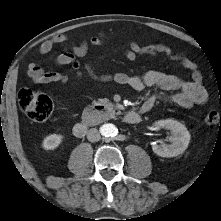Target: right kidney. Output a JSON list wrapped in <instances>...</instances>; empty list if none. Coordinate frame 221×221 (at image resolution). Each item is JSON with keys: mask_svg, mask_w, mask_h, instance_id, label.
Segmentation results:
<instances>
[{"mask_svg": "<svg viewBox=\"0 0 221 221\" xmlns=\"http://www.w3.org/2000/svg\"><path fill=\"white\" fill-rule=\"evenodd\" d=\"M63 136L60 134H51L44 138L42 147L45 150H53L57 148L62 142Z\"/></svg>", "mask_w": 221, "mask_h": 221, "instance_id": "1", "label": "right kidney"}]
</instances>
